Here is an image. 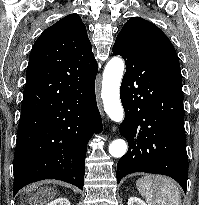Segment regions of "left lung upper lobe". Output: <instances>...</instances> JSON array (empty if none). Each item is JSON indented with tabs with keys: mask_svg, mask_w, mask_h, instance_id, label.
Masks as SVG:
<instances>
[{
	"mask_svg": "<svg viewBox=\"0 0 199 205\" xmlns=\"http://www.w3.org/2000/svg\"><path fill=\"white\" fill-rule=\"evenodd\" d=\"M116 40L125 42L151 59L173 85L182 89V75L175 48L156 25L133 17L122 27Z\"/></svg>",
	"mask_w": 199,
	"mask_h": 205,
	"instance_id": "5c2ea615",
	"label": "left lung upper lobe"
}]
</instances>
